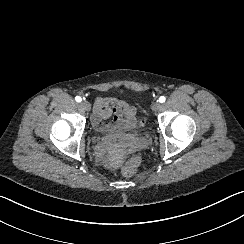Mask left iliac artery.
Here are the masks:
<instances>
[{
    "mask_svg": "<svg viewBox=\"0 0 244 244\" xmlns=\"http://www.w3.org/2000/svg\"><path fill=\"white\" fill-rule=\"evenodd\" d=\"M165 100H166V98H165L164 96H161V97L159 98V102H160V103L165 102Z\"/></svg>",
    "mask_w": 244,
    "mask_h": 244,
    "instance_id": "44dca946",
    "label": "left iliac artery"
}]
</instances>
